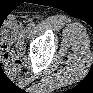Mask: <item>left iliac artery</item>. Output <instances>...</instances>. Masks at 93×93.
Masks as SVG:
<instances>
[{
	"label": "left iliac artery",
	"mask_w": 93,
	"mask_h": 93,
	"mask_svg": "<svg viewBox=\"0 0 93 93\" xmlns=\"http://www.w3.org/2000/svg\"><path fill=\"white\" fill-rule=\"evenodd\" d=\"M29 26H30V28H34L35 24L34 23H30Z\"/></svg>",
	"instance_id": "1"
}]
</instances>
